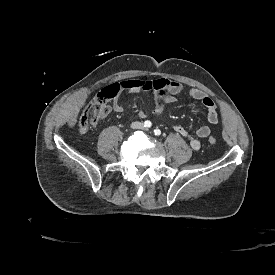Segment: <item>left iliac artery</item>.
Returning a JSON list of instances; mask_svg holds the SVG:
<instances>
[{
  "mask_svg": "<svg viewBox=\"0 0 275 275\" xmlns=\"http://www.w3.org/2000/svg\"><path fill=\"white\" fill-rule=\"evenodd\" d=\"M147 128V127H146ZM154 134L155 135H157V136H159L160 134H161V131H160V129H154Z\"/></svg>",
  "mask_w": 275,
  "mask_h": 275,
  "instance_id": "44dca946",
  "label": "left iliac artery"
}]
</instances>
